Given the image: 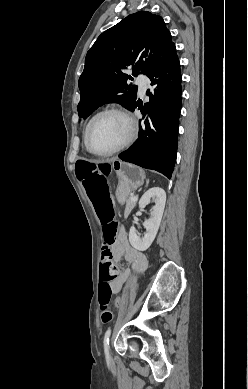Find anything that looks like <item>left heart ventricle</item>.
I'll list each match as a JSON object with an SVG mask.
<instances>
[{
	"mask_svg": "<svg viewBox=\"0 0 248 389\" xmlns=\"http://www.w3.org/2000/svg\"><path fill=\"white\" fill-rule=\"evenodd\" d=\"M128 134L126 121L116 114L100 117L89 132V146L96 152L109 151L121 144Z\"/></svg>",
	"mask_w": 248,
	"mask_h": 389,
	"instance_id": "left-heart-ventricle-1",
	"label": "left heart ventricle"
}]
</instances>
